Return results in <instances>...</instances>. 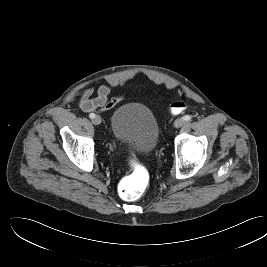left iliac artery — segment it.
Returning <instances> with one entry per match:
<instances>
[{
  "label": "left iliac artery",
  "mask_w": 267,
  "mask_h": 267,
  "mask_svg": "<svg viewBox=\"0 0 267 267\" xmlns=\"http://www.w3.org/2000/svg\"><path fill=\"white\" fill-rule=\"evenodd\" d=\"M183 119L187 122L191 121L192 117L190 115H185Z\"/></svg>",
  "instance_id": "44dca946"
}]
</instances>
